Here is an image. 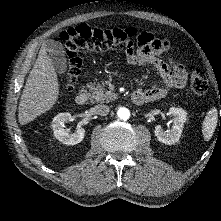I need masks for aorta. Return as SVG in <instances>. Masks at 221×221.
<instances>
[{
	"mask_svg": "<svg viewBox=\"0 0 221 221\" xmlns=\"http://www.w3.org/2000/svg\"><path fill=\"white\" fill-rule=\"evenodd\" d=\"M117 115L121 120H128L130 118V111L127 108H119Z\"/></svg>",
	"mask_w": 221,
	"mask_h": 221,
	"instance_id": "762f6f07",
	"label": "aorta"
}]
</instances>
